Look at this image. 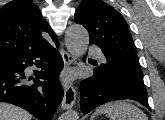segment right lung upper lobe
Instances as JSON below:
<instances>
[{"label": "right lung upper lobe", "instance_id": "cb5924a9", "mask_svg": "<svg viewBox=\"0 0 165 120\" xmlns=\"http://www.w3.org/2000/svg\"><path fill=\"white\" fill-rule=\"evenodd\" d=\"M57 38L33 0H13L0 9V61Z\"/></svg>", "mask_w": 165, "mask_h": 120}]
</instances>
